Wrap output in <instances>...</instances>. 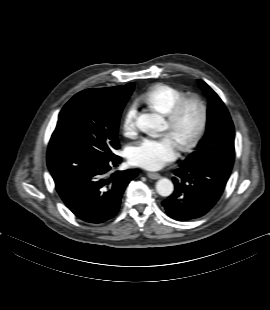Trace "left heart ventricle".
I'll use <instances>...</instances> for the list:
<instances>
[{
    "instance_id": "obj_1",
    "label": "left heart ventricle",
    "mask_w": 270,
    "mask_h": 310,
    "mask_svg": "<svg viewBox=\"0 0 270 310\" xmlns=\"http://www.w3.org/2000/svg\"><path fill=\"white\" fill-rule=\"evenodd\" d=\"M198 122V113L196 109L189 108L183 115L179 126L176 130H171L168 123L166 122L165 131H168L170 135L177 141L190 135L196 128Z\"/></svg>"
}]
</instances>
